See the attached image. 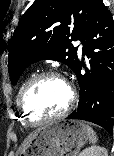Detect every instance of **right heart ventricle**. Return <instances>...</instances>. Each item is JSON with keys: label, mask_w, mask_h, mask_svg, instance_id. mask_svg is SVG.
Here are the masks:
<instances>
[{"label": "right heart ventricle", "mask_w": 114, "mask_h": 156, "mask_svg": "<svg viewBox=\"0 0 114 156\" xmlns=\"http://www.w3.org/2000/svg\"><path fill=\"white\" fill-rule=\"evenodd\" d=\"M24 84H25V83H23V84L21 85V87H20V89H19V92H18V95H19L21 89L23 88ZM18 95H17V99H18Z\"/></svg>", "instance_id": "e07e8e85"}]
</instances>
